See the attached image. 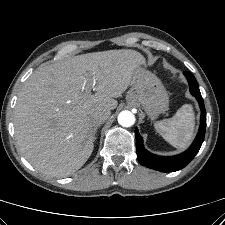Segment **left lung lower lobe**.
Returning <instances> with one entry per match:
<instances>
[{"label":"left lung lower lobe","instance_id":"1","mask_svg":"<svg viewBox=\"0 0 225 225\" xmlns=\"http://www.w3.org/2000/svg\"><path fill=\"white\" fill-rule=\"evenodd\" d=\"M184 75L188 80L191 94L197 98L201 108L199 132L192 145L185 152L176 156L165 157V156H158L148 152L144 148L143 139L139 134L138 129L136 128L135 136H136L137 158L142 165L148 168L155 169L161 172L178 171L191 162V160L197 154L203 143L206 130V111L204 107L203 98L201 96L199 85L195 77L190 72L187 71L184 72Z\"/></svg>","mask_w":225,"mask_h":225}]
</instances>
